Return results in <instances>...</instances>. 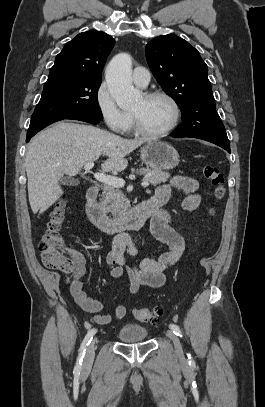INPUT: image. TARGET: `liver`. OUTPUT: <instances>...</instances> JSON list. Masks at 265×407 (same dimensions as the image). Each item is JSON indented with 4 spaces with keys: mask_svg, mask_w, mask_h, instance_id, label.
<instances>
[{
    "mask_svg": "<svg viewBox=\"0 0 265 407\" xmlns=\"http://www.w3.org/2000/svg\"><path fill=\"white\" fill-rule=\"evenodd\" d=\"M146 139H124L106 130L70 122H59L38 133L25 155L28 196L32 212L42 214L58 200L63 190L59 182L64 174L75 176L83 166L107 156L103 172L124 170L125 156Z\"/></svg>",
    "mask_w": 265,
    "mask_h": 407,
    "instance_id": "6515ba94",
    "label": "liver"
}]
</instances>
